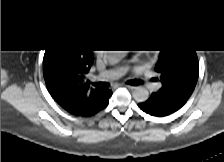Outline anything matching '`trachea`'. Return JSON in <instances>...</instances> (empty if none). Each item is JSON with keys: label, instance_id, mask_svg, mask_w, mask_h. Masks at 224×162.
<instances>
[{"label": "trachea", "instance_id": "1", "mask_svg": "<svg viewBox=\"0 0 224 162\" xmlns=\"http://www.w3.org/2000/svg\"><path fill=\"white\" fill-rule=\"evenodd\" d=\"M128 84L130 85H138L141 83V81L139 80H133V81H129L127 82ZM95 87L99 88V89H105V88H108L110 86L109 83H106V82H99V83H95L93 84Z\"/></svg>", "mask_w": 224, "mask_h": 162}]
</instances>
